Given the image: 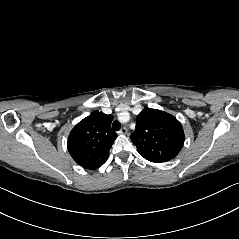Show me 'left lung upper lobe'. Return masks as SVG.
I'll use <instances>...</instances> for the list:
<instances>
[{"label": "left lung upper lobe", "mask_w": 239, "mask_h": 239, "mask_svg": "<svg viewBox=\"0 0 239 239\" xmlns=\"http://www.w3.org/2000/svg\"><path fill=\"white\" fill-rule=\"evenodd\" d=\"M130 138L142 157L161 163L179 153L185 136L181 123L174 116L146 108L138 115L135 132Z\"/></svg>", "instance_id": "5c2ea615"}]
</instances>
